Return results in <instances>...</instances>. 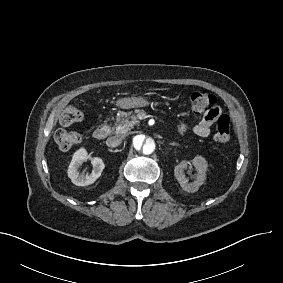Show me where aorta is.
Segmentation results:
<instances>
[{
  "instance_id": "762f6f07",
  "label": "aorta",
  "mask_w": 283,
  "mask_h": 283,
  "mask_svg": "<svg viewBox=\"0 0 283 283\" xmlns=\"http://www.w3.org/2000/svg\"><path fill=\"white\" fill-rule=\"evenodd\" d=\"M131 152L139 157H151L157 151V141L149 133L139 132L131 139Z\"/></svg>"
}]
</instances>
